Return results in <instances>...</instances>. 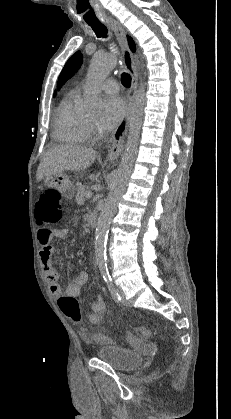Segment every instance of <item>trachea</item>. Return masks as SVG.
I'll return each mask as SVG.
<instances>
[{
	"mask_svg": "<svg viewBox=\"0 0 231 419\" xmlns=\"http://www.w3.org/2000/svg\"><path fill=\"white\" fill-rule=\"evenodd\" d=\"M95 32L97 37H105L107 35V28L101 22L88 23ZM122 84L129 88L131 84V77L128 73L122 74Z\"/></svg>",
	"mask_w": 231,
	"mask_h": 419,
	"instance_id": "trachea-1",
	"label": "trachea"
}]
</instances>
